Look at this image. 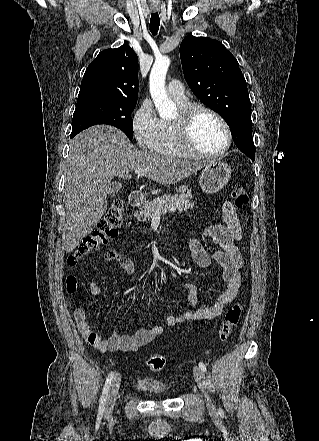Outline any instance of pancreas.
<instances>
[{
  "instance_id": "cf45deb5",
  "label": "pancreas",
  "mask_w": 319,
  "mask_h": 441,
  "mask_svg": "<svg viewBox=\"0 0 319 441\" xmlns=\"http://www.w3.org/2000/svg\"><path fill=\"white\" fill-rule=\"evenodd\" d=\"M191 199L192 195L190 190H188L186 194L179 196L165 195L161 198H155L150 202L144 203L142 209L137 211L134 217L140 221L141 218H151L155 215L156 211H159L160 214L174 212L176 210H178L179 213L183 211L188 212L189 209H193L194 207V203L191 202Z\"/></svg>"
}]
</instances>
